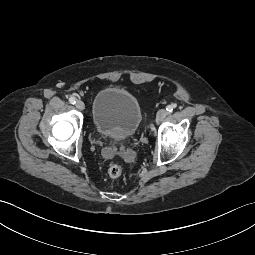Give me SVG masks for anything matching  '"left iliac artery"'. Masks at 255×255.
Listing matches in <instances>:
<instances>
[{"label":"left iliac artery","instance_id":"obj_1","mask_svg":"<svg viewBox=\"0 0 255 255\" xmlns=\"http://www.w3.org/2000/svg\"><path fill=\"white\" fill-rule=\"evenodd\" d=\"M175 108H176V105H175V104H171V105H168V106L166 107V110H167L168 112H172Z\"/></svg>","mask_w":255,"mask_h":255}]
</instances>
